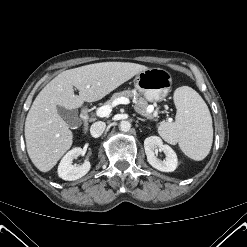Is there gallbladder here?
<instances>
[{
  "mask_svg": "<svg viewBox=\"0 0 247 247\" xmlns=\"http://www.w3.org/2000/svg\"><path fill=\"white\" fill-rule=\"evenodd\" d=\"M58 114L64 119V121L72 127H78L82 124L81 119L78 116L76 110H68L64 107H57Z\"/></svg>",
  "mask_w": 247,
  "mask_h": 247,
  "instance_id": "gallbladder-1",
  "label": "gallbladder"
}]
</instances>
